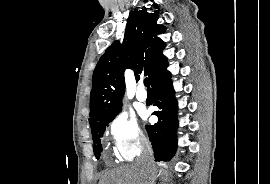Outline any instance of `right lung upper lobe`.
I'll list each match as a JSON object with an SVG mask.
<instances>
[{"label":"right lung upper lobe","instance_id":"right-lung-upper-lobe-1","mask_svg":"<svg viewBox=\"0 0 270 184\" xmlns=\"http://www.w3.org/2000/svg\"><path fill=\"white\" fill-rule=\"evenodd\" d=\"M158 17L147 9L131 11L122 44L115 41L100 57L92 78L90 126L121 110L125 69H133L136 80L147 75L151 84L167 69L165 43L157 37L165 28L156 23Z\"/></svg>","mask_w":270,"mask_h":184}]
</instances>
